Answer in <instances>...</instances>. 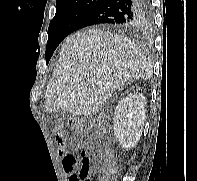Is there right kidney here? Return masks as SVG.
Segmentation results:
<instances>
[{"mask_svg": "<svg viewBox=\"0 0 197 181\" xmlns=\"http://www.w3.org/2000/svg\"><path fill=\"white\" fill-rule=\"evenodd\" d=\"M146 118V99L142 93H130L116 106L113 129L123 148H132L140 140Z\"/></svg>", "mask_w": 197, "mask_h": 181, "instance_id": "ca27d5eb", "label": "right kidney"}]
</instances>
